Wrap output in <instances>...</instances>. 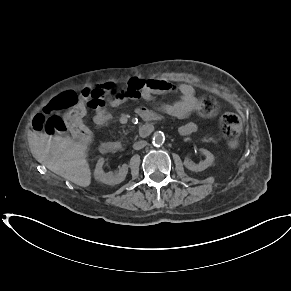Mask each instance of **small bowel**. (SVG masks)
Segmentation results:
<instances>
[{"instance_id":"obj_1","label":"small bowel","mask_w":291,"mask_h":291,"mask_svg":"<svg viewBox=\"0 0 291 291\" xmlns=\"http://www.w3.org/2000/svg\"><path fill=\"white\" fill-rule=\"evenodd\" d=\"M91 91L92 98L87 101L86 106L95 111L93 121L98 126H105L110 121L111 115L108 112V106L117 107L128 100L138 98L151 100L154 95L176 91L181 94L180 100L163 105L161 110L179 119L186 118L195 112V107H189L187 104L182 106L180 104L182 99L187 101L189 98H196L193 87L186 83L176 86L172 82L164 79L132 77L129 79L124 89H120L112 83H107ZM136 114L141 116L143 120H150L151 122H157L161 118V113L159 111H152L145 107H138L136 109ZM196 130L197 125L194 122H188L181 126L179 131L182 135H189Z\"/></svg>"}]
</instances>
